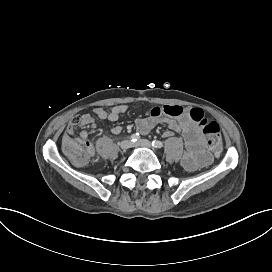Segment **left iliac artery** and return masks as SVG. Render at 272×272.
Listing matches in <instances>:
<instances>
[{
    "instance_id": "obj_1",
    "label": "left iliac artery",
    "mask_w": 272,
    "mask_h": 272,
    "mask_svg": "<svg viewBox=\"0 0 272 272\" xmlns=\"http://www.w3.org/2000/svg\"><path fill=\"white\" fill-rule=\"evenodd\" d=\"M152 146L155 147V148H162L163 143L161 141H158V140H153L152 141Z\"/></svg>"
}]
</instances>
